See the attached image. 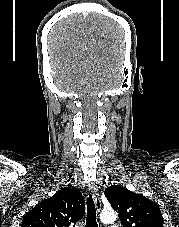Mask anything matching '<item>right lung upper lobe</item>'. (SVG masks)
<instances>
[{"instance_id":"1","label":"right lung upper lobe","mask_w":179,"mask_h":227,"mask_svg":"<svg viewBox=\"0 0 179 227\" xmlns=\"http://www.w3.org/2000/svg\"><path fill=\"white\" fill-rule=\"evenodd\" d=\"M84 212L81 192L75 187H65L27 212L21 227H75Z\"/></svg>"}]
</instances>
